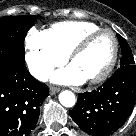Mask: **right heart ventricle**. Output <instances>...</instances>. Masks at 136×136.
I'll return each mask as SVG.
<instances>
[{"instance_id":"obj_1","label":"right heart ventricle","mask_w":136,"mask_h":136,"mask_svg":"<svg viewBox=\"0 0 136 136\" xmlns=\"http://www.w3.org/2000/svg\"><path fill=\"white\" fill-rule=\"evenodd\" d=\"M100 29L95 23L86 21H64L45 30L50 42L65 56L88 33Z\"/></svg>"}]
</instances>
